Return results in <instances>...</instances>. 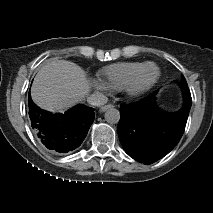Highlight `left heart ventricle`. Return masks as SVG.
Segmentation results:
<instances>
[{
    "label": "left heart ventricle",
    "instance_id": "left-heart-ventricle-1",
    "mask_svg": "<svg viewBox=\"0 0 213 213\" xmlns=\"http://www.w3.org/2000/svg\"><path fill=\"white\" fill-rule=\"evenodd\" d=\"M155 69L153 67H148L141 75L139 84L144 85L150 82L154 77Z\"/></svg>",
    "mask_w": 213,
    "mask_h": 213
}]
</instances>
